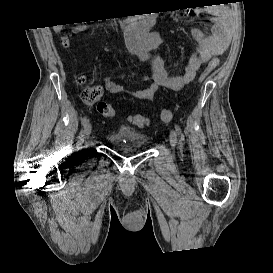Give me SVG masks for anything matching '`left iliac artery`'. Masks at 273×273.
Listing matches in <instances>:
<instances>
[{
  "label": "left iliac artery",
  "mask_w": 273,
  "mask_h": 273,
  "mask_svg": "<svg viewBox=\"0 0 273 273\" xmlns=\"http://www.w3.org/2000/svg\"><path fill=\"white\" fill-rule=\"evenodd\" d=\"M175 129H176V131H177V134L180 135V134H181V128H180V126H179V125H176V126H175Z\"/></svg>",
  "instance_id": "obj_1"
}]
</instances>
